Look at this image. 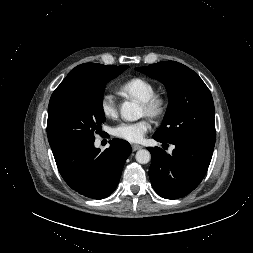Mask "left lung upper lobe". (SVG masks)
I'll use <instances>...</instances> for the list:
<instances>
[{
  "label": "left lung upper lobe",
  "mask_w": 253,
  "mask_h": 253,
  "mask_svg": "<svg viewBox=\"0 0 253 253\" xmlns=\"http://www.w3.org/2000/svg\"><path fill=\"white\" fill-rule=\"evenodd\" d=\"M136 70L162 82L168 92V111L154 136L166 142L197 140L215 145L213 98L197 73L175 61H162Z\"/></svg>",
  "instance_id": "5c2ea615"
}]
</instances>
